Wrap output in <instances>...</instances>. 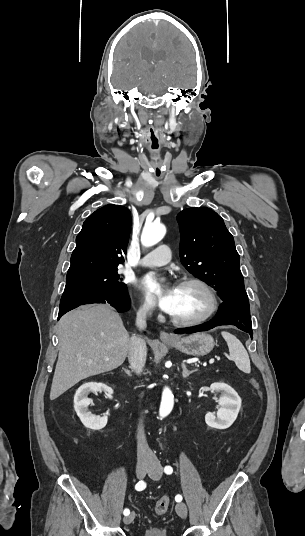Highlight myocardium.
Segmentation results:
<instances>
[{
    "label": "myocardium",
    "mask_w": 305,
    "mask_h": 536,
    "mask_svg": "<svg viewBox=\"0 0 305 536\" xmlns=\"http://www.w3.org/2000/svg\"><path fill=\"white\" fill-rule=\"evenodd\" d=\"M186 284H195L202 287L211 297V308L206 314L200 317H181L170 313L172 321L181 325L194 326L211 320L219 312L221 307V298L218 291L206 280L195 276L182 278L179 285Z\"/></svg>",
    "instance_id": "f54148a6"
}]
</instances>
